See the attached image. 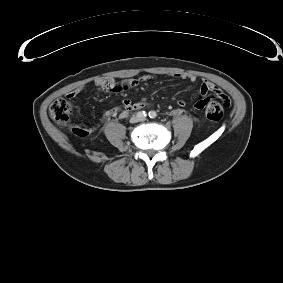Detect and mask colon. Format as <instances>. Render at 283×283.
<instances>
[{
	"instance_id": "5ec220e1",
	"label": "colon",
	"mask_w": 283,
	"mask_h": 283,
	"mask_svg": "<svg viewBox=\"0 0 283 283\" xmlns=\"http://www.w3.org/2000/svg\"><path fill=\"white\" fill-rule=\"evenodd\" d=\"M218 100H213L206 108V116L209 120L218 121L223 117L224 107L230 106V101L224 93L218 95ZM50 116L59 125L65 126L71 115V105L64 99L54 100L49 108ZM75 134L79 136H87L91 129L88 126L80 125L73 127Z\"/></svg>"
}]
</instances>
